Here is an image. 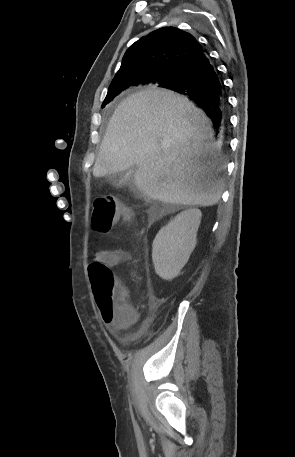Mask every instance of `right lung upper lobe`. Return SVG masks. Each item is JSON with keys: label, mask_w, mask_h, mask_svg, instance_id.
<instances>
[{"label": "right lung upper lobe", "mask_w": 295, "mask_h": 457, "mask_svg": "<svg viewBox=\"0 0 295 457\" xmlns=\"http://www.w3.org/2000/svg\"><path fill=\"white\" fill-rule=\"evenodd\" d=\"M203 52L191 34L175 27L157 29L128 48L110 87L119 84L162 86Z\"/></svg>", "instance_id": "right-lung-upper-lobe-1"}]
</instances>
